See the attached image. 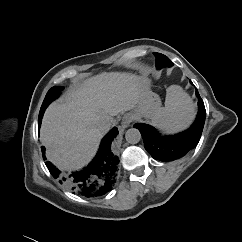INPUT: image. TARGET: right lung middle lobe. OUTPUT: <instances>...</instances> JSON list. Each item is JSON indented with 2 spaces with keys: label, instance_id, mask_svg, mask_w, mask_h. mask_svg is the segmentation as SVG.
<instances>
[{
  "label": "right lung middle lobe",
  "instance_id": "right-lung-middle-lobe-1",
  "mask_svg": "<svg viewBox=\"0 0 242 242\" xmlns=\"http://www.w3.org/2000/svg\"><path fill=\"white\" fill-rule=\"evenodd\" d=\"M64 88L63 87H61V86H55V87H52L49 91H48V93H47V95H46V97H45V99H44V102H43V104H42V106H41V109H40V114H39V123H40V121H41V119H42V116H43V113H44V111H45V109H46V107L54 100V99H56L57 97H58V95L60 94L59 92L61 91V90H63Z\"/></svg>",
  "mask_w": 242,
  "mask_h": 242
}]
</instances>
